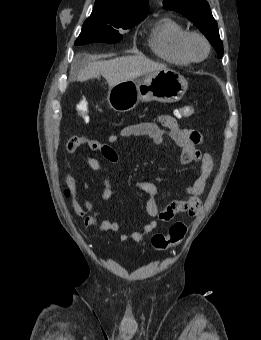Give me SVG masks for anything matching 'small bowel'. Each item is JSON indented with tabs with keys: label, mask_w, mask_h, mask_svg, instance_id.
I'll return each instance as SVG.
<instances>
[{
	"label": "small bowel",
	"mask_w": 261,
	"mask_h": 340,
	"mask_svg": "<svg viewBox=\"0 0 261 340\" xmlns=\"http://www.w3.org/2000/svg\"><path fill=\"white\" fill-rule=\"evenodd\" d=\"M176 117L161 115L151 122L126 126L118 134H110L107 137L106 143L79 135L70 137L66 143V150L69 153H75L81 146H87L92 151L100 152L102 157L110 163L117 164L119 162V155L112 147V144L116 143L120 138L147 136L157 145L165 147L175 145L180 148V162L183 165L193 162L199 164L198 177L186 189L188 199L175 200L163 209H160L157 203L158 189L156 185L149 180H141L137 183L139 189L148 197L146 203L147 213L156 219L144 225L141 230L132 233L122 232L120 240L123 242L129 240L139 242L143 239L144 235L150 234L156 229L158 221L169 222L182 213L193 216L199 213L202 208L200 196L205 190L206 181L213 169L212 157L198 148L201 141L200 133L194 129L182 128ZM87 164L93 171L101 172L103 170L102 164L95 157H88ZM65 180L71 192L73 211L77 217L83 219V226L85 228H96L104 232L120 231V225L115 221L103 220L98 222L94 217L87 216L88 212L93 211L92 204L87 201L84 203L80 202L78 198V184L72 175L66 174ZM103 185L104 189L101 197L103 200H108L112 196L111 181L108 176L104 177Z\"/></svg>",
	"instance_id": "obj_1"
}]
</instances>
